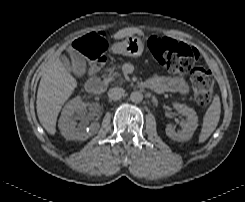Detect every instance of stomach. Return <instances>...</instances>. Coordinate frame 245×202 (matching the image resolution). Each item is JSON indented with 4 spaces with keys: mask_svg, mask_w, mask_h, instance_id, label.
Wrapping results in <instances>:
<instances>
[{
    "mask_svg": "<svg viewBox=\"0 0 245 202\" xmlns=\"http://www.w3.org/2000/svg\"><path fill=\"white\" fill-rule=\"evenodd\" d=\"M114 53L128 57L141 56L144 51V43L139 37L132 36L122 42L115 43L112 47Z\"/></svg>",
    "mask_w": 245,
    "mask_h": 202,
    "instance_id": "1",
    "label": "stomach"
}]
</instances>
